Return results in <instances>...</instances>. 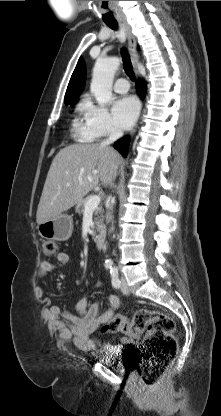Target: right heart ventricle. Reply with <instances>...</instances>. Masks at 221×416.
Masks as SVG:
<instances>
[{"instance_id": "obj_1", "label": "right heart ventricle", "mask_w": 221, "mask_h": 416, "mask_svg": "<svg viewBox=\"0 0 221 416\" xmlns=\"http://www.w3.org/2000/svg\"><path fill=\"white\" fill-rule=\"evenodd\" d=\"M80 109H81V105H79V106H78V110H80ZM78 135H79V137H80V138H82L83 140H88V139L84 138V137L81 135V133L79 132V129H78Z\"/></svg>"}]
</instances>
